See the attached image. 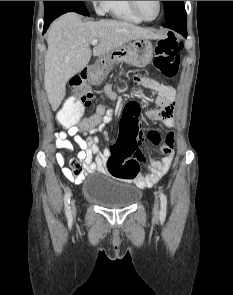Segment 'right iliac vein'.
<instances>
[{
	"label": "right iliac vein",
	"mask_w": 233,
	"mask_h": 295,
	"mask_svg": "<svg viewBox=\"0 0 233 295\" xmlns=\"http://www.w3.org/2000/svg\"><path fill=\"white\" fill-rule=\"evenodd\" d=\"M71 212H72L73 215L76 214V204H75V199H73V200L71 201Z\"/></svg>",
	"instance_id": "1"
}]
</instances>
